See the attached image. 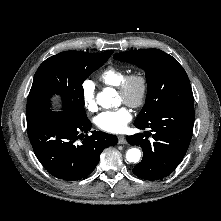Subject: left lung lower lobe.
<instances>
[{
    "label": "left lung lower lobe",
    "instance_id": "1",
    "mask_svg": "<svg viewBox=\"0 0 221 221\" xmlns=\"http://www.w3.org/2000/svg\"><path fill=\"white\" fill-rule=\"evenodd\" d=\"M134 125L139 129L149 128L151 132L126 138L129 144L143 150V159L133 173L145 180L162 179L176 169L186 154L194 126V106L162 109L144 123ZM149 135L154 140L149 141Z\"/></svg>",
    "mask_w": 221,
    "mask_h": 221
}]
</instances>
